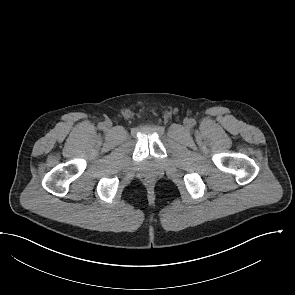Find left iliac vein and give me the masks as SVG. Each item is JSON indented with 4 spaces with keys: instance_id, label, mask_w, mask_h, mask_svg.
Returning <instances> with one entry per match:
<instances>
[{
    "instance_id": "1",
    "label": "left iliac vein",
    "mask_w": 295,
    "mask_h": 295,
    "mask_svg": "<svg viewBox=\"0 0 295 295\" xmlns=\"http://www.w3.org/2000/svg\"><path fill=\"white\" fill-rule=\"evenodd\" d=\"M184 125H185L186 128H189L190 125H191V120L190 119H185Z\"/></svg>"
}]
</instances>
